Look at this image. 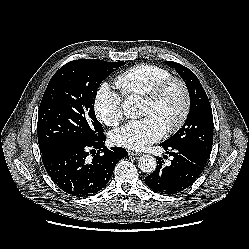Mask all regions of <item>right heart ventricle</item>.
Wrapping results in <instances>:
<instances>
[{
	"instance_id": "obj_1",
	"label": "right heart ventricle",
	"mask_w": 249,
	"mask_h": 249,
	"mask_svg": "<svg viewBox=\"0 0 249 249\" xmlns=\"http://www.w3.org/2000/svg\"><path fill=\"white\" fill-rule=\"evenodd\" d=\"M170 76V71L161 66L139 64L119 74L115 79V85L126 97L143 96L157 83Z\"/></svg>"
}]
</instances>
